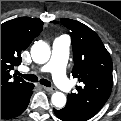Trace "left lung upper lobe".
<instances>
[{
	"label": "left lung upper lobe",
	"instance_id": "5c2ea615",
	"mask_svg": "<svg viewBox=\"0 0 121 121\" xmlns=\"http://www.w3.org/2000/svg\"><path fill=\"white\" fill-rule=\"evenodd\" d=\"M74 54L72 75L81 82L68 94L66 107L81 119L92 118L108 100L112 90V60L99 36L86 25L67 18Z\"/></svg>",
	"mask_w": 121,
	"mask_h": 121
}]
</instances>
